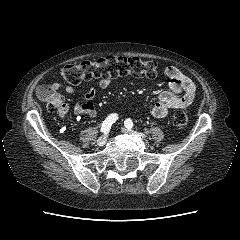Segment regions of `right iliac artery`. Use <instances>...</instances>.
Returning <instances> with one entry per match:
<instances>
[{
	"instance_id": "82829eb1",
	"label": "right iliac artery",
	"mask_w": 240,
	"mask_h": 240,
	"mask_svg": "<svg viewBox=\"0 0 240 240\" xmlns=\"http://www.w3.org/2000/svg\"><path fill=\"white\" fill-rule=\"evenodd\" d=\"M118 115L116 113L110 114L102 123L101 132H108L111 126L117 121Z\"/></svg>"
}]
</instances>
